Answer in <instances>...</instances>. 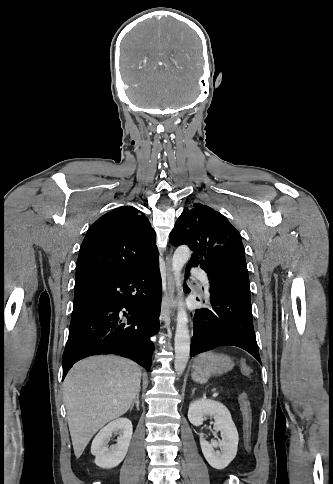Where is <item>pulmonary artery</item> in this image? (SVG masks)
<instances>
[{"instance_id":"1","label":"pulmonary artery","mask_w":333,"mask_h":484,"mask_svg":"<svg viewBox=\"0 0 333 484\" xmlns=\"http://www.w3.org/2000/svg\"><path fill=\"white\" fill-rule=\"evenodd\" d=\"M194 273L196 274V276L199 278L202 285L204 286L206 294L209 295V280H208L206 274H204L203 272H200V271H195Z\"/></svg>"}]
</instances>
